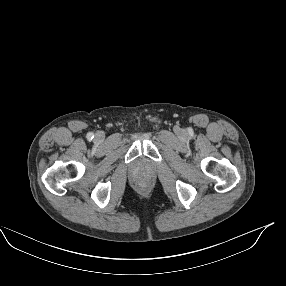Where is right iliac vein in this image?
<instances>
[{
    "mask_svg": "<svg viewBox=\"0 0 286 286\" xmlns=\"http://www.w3.org/2000/svg\"><path fill=\"white\" fill-rule=\"evenodd\" d=\"M96 138H97V140L101 141V140L103 139V135H102V134H98V135L96 136Z\"/></svg>",
    "mask_w": 286,
    "mask_h": 286,
    "instance_id": "obj_1",
    "label": "right iliac vein"
}]
</instances>
